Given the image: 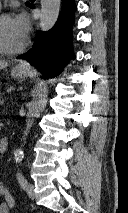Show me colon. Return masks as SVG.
Listing matches in <instances>:
<instances>
[{
	"label": "colon",
	"mask_w": 128,
	"mask_h": 213,
	"mask_svg": "<svg viewBox=\"0 0 128 213\" xmlns=\"http://www.w3.org/2000/svg\"><path fill=\"white\" fill-rule=\"evenodd\" d=\"M0 196H2L5 200V204L8 208H14L15 207V200L10 193L9 189L0 182Z\"/></svg>",
	"instance_id": "colon-1"
}]
</instances>
